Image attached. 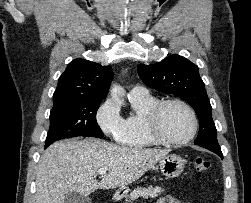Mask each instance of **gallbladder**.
Listing matches in <instances>:
<instances>
[{
  "label": "gallbladder",
  "instance_id": "gallbladder-1",
  "mask_svg": "<svg viewBox=\"0 0 251 203\" xmlns=\"http://www.w3.org/2000/svg\"><path fill=\"white\" fill-rule=\"evenodd\" d=\"M64 203H91V199L88 196L82 195L78 192H69L65 196Z\"/></svg>",
  "mask_w": 251,
  "mask_h": 203
}]
</instances>
